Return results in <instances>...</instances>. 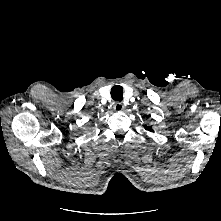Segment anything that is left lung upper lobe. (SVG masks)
Here are the masks:
<instances>
[{
	"label": "left lung upper lobe",
	"instance_id": "left-lung-upper-lobe-1",
	"mask_svg": "<svg viewBox=\"0 0 221 221\" xmlns=\"http://www.w3.org/2000/svg\"><path fill=\"white\" fill-rule=\"evenodd\" d=\"M145 129L148 130V131L153 132V129L151 127H149V126H145Z\"/></svg>",
	"mask_w": 221,
	"mask_h": 221
}]
</instances>
